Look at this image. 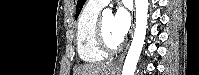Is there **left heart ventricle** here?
Wrapping results in <instances>:
<instances>
[{
    "label": "left heart ventricle",
    "instance_id": "obj_1",
    "mask_svg": "<svg viewBox=\"0 0 199 75\" xmlns=\"http://www.w3.org/2000/svg\"><path fill=\"white\" fill-rule=\"evenodd\" d=\"M113 17L106 16L102 18L103 33L107 43L111 46L117 45L120 40L116 37L112 29Z\"/></svg>",
    "mask_w": 199,
    "mask_h": 75
}]
</instances>
